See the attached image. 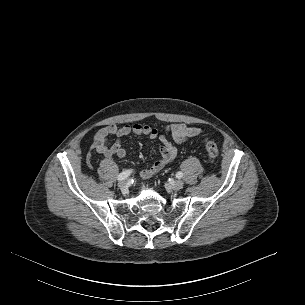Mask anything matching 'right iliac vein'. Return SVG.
<instances>
[{
    "instance_id": "obj_1",
    "label": "right iliac vein",
    "mask_w": 305,
    "mask_h": 305,
    "mask_svg": "<svg viewBox=\"0 0 305 305\" xmlns=\"http://www.w3.org/2000/svg\"><path fill=\"white\" fill-rule=\"evenodd\" d=\"M118 187L121 189V191H126L128 189V181L122 180L118 183Z\"/></svg>"
}]
</instances>
